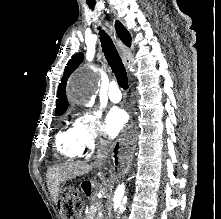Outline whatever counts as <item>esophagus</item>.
Segmentation results:
<instances>
[{
  "label": "esophagus",
  "instance_id": "obj_1",
  "mask_svg": "<svg viewBox=\"0 0 221 219\" xmlns=\"http://www.w3.org/2000/svg\"><path fill=\"white\" fill-rule=\"evenodd\" d=\"M117 46H118L120 52H121L122 55H123V59L126 61L124 45H123L120 41H117Z\"/></svg>",
  "mask_w": 221,
  "mask_h": 219
}]
</instances>
